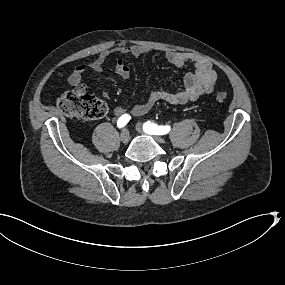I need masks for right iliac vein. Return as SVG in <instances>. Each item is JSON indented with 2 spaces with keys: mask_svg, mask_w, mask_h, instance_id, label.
I'll return each instance as SVG.
<instances>
[{
  "mask_svg": "<svg viewBox=\"0 0 285 285\" xmlns=\"http://www.w3.org/2000/svg\"><path fill=\"white\" fill-rule=\"evenodd\" d=\"M120 140L124 143V144H127L130 140V134H129V131L127 129H124L122 132H121V135H120Z\"/></svg>",
  "mask_w": 285,
  "mask_h": 285,
  "instance_id": "obj_1",
  "label": "right iliac vein"
}]
</instances>
